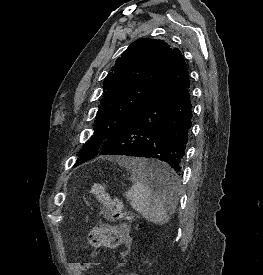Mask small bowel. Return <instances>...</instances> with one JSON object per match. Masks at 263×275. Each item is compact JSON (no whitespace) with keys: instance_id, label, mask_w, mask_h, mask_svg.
I'll return each instance as SVG.
<instances>
[{"instance_id":"obj_1","label":"small bowel","mask_w":263,"mask_h":275,"mask_svg":"<svg viewBox=\"0 0 263 275\" xmlns=\"http://www.w3.org/2000/svg\"><path fill=\"white\" fill-rule=\"evenodd\" d=\"M119 236V245L124 248H129L132 243L131 229L127 224H120L113 227ZM125 275H136V274H125Z\"/></svg>"}]
</instances>
